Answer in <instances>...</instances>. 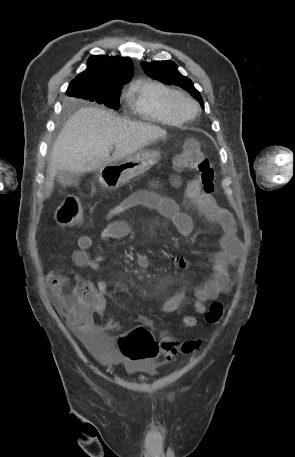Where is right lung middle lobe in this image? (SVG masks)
<instances>
[{
    "mask_svg": "<svg viewBox=\"0 0 295 457\" xmlns=\"http://www.w3.org/2000/svg\"><path fill=\"white\" fill-rule=\"evenodd\" d=\"M120 93L121 88L96 90L78 85L73 87L70 92H67V95L88 99L89 101H95L99 104H104L109 108L117 110L119 107Z\"/></svg>",
    "mask_w": 295,
    "mask_h": 457,
    "instance_id": "1",
    "label": "right lung middle lobe"
}]
</instances>
